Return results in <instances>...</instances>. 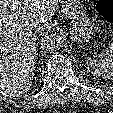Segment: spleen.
<instances>
[{"label":"spleen","instance_id":"1","mask_svg":"<svg viewBox=\"0 0 113 113\" xmlns=\"http://www.w3.org/2000/svg\"><path fill=\"white\" fill-rule=\"evenodd\" d=\"M86 68L94 76H101L103 79H113V42L101 59L88 57Z\"/></svg>","mask_w":113,"mask_h":113}]
</instances>
